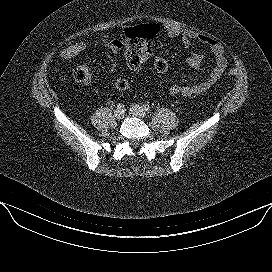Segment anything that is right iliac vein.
Instances as JSON below:
<instances>
[{
  "mask_svg": "<svg viewBox=\"0 0 272 272\" xmlns=\"http://www.w3.org/2000/svg\"><path fill=\"white\" fill-rule=\"evenodd\" d=\"M116 119L121 120L124 117L123 110L117 109L114 113Z\"/></svg>",
  "mask_w": 272,
  "mask_h": 272,
  "instance_id": "1",
  "label": "right iliac vein"
}]
</instances>
